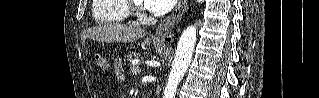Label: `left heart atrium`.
<instances>
[{"instance_id": "1", "label": "left heart atrium", "mask_w": 319, "mask_h": 98, "mask_svg": "<svg viewBox=\"0 0 319 98\" xmlns=\"http://www.w3.org/2000/svg\"><path fill=\"white\" fill-rule=\"evenodd\" d=\"M144 6L153 14L155 15H163L169 12L174 4L175 0H144Z\"/></svg>"}]
</instances>
